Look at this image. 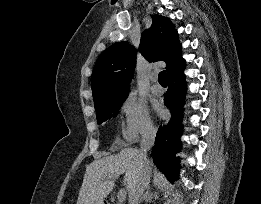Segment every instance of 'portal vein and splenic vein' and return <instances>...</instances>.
Returning <instances> with one entry per match:
<instances>
[{"label":"portal vein and splenic vein","mask_w":261,"mask_h":204,"mask_svg":"<svg viewBox=\"0 0 261 204\" xmlns=\"http://www.w3.org/2000/svg\"><path fill=\"white\" fill-rule=\"evenodd\" d=\"M109 178L117 179L118 176H109ZM117 197H118L119 202L123 203L126 199V191L124 189L119 190Z\"/></svg>","instance_id":"portal-vein-and-splenic-vein-1"}]
</instances>
